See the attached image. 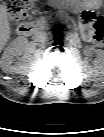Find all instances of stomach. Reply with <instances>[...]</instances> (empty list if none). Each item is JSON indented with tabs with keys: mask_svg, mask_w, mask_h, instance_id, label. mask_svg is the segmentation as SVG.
<instances>
[{
	"mask_svg": "<svg viewBox=\"0 0 104 137\" xmlns=\"http://www.w3.org/2000/svg\"><path fill=\"white\" fill-rule=\"evenodd\" d=\"M59 7H72L74 9H82L87 7L90 0H56Z\"/></svg>",
	"mask_w": 104,
	"mask_h": 137,
	"instance_id": "stomach-1",
	"label": "stomach"
}]
</instances>
